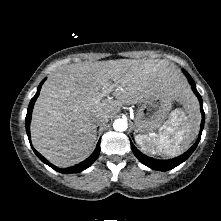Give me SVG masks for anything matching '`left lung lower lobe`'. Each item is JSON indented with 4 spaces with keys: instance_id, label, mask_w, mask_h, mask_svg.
I'll use <instances>...</instances> for the list:
<instances>
[{
    "instance_id": "0a47b994",
    "label": "left lung lower lobe",
    "mask_w": 221,
    "mask_h": 221,
    "mask_svg": "<svg viewBox=\"0 0 221 221\" xmlns=\"http://www.w3.org/2000/svg\"><path fill=\"white\" fill-rule=\"evenodd\" d=\"M184 73L186 74L187 78L189 79L190 84L192 86V90L196 94V96L198 97L199 102H200L202 121H201V127H200V133H199L198 140L183 155L173 158V159H169V160H156V159L150 158V157L144 155L143 153H141L131 142V149H132L134 155L139 159L140 162H142L144 165L150 167L151 169H155V170H159V171H168V170L175 168L176 166H178L179 164H181L182 162H184L185 160H187L189 158V156L196 149V147L201 139V134H202V130L204 127V120H205L202 98H201V95L198 93L195 83H194L193 79L191 78V76L188 73H186L185 71H184Z\"/></svg>"
}]
</instances>
